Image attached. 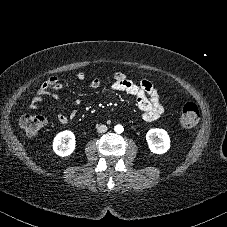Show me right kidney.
Instances as JSON below:
<instances>
[{
    "label": "right kidney",
    "mask_w": 227,
    "mask_h": 227,
    "mask_svg": "<svg viewBox=\"0 0 227 227\" xmlns=\"http://www.w3.org/2000/svg\"><path fill=\"white\" fill-rule=\"evenodd\" d=\"M75 135L72 131L65 130L56 135L53 141L54 152L61 156H69L75 150Z\"/></svg>",
    "instance_id": "right-kidney-1"
}]
</instances>
